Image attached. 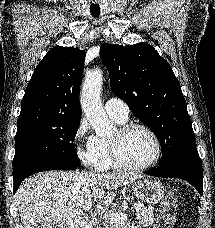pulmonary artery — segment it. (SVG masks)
<instances>
[{
  "instance_id": "1",
  "label": "pulmonary artery",
  "mask_w": 215,
  "mask_h": 228,
  "mask_svg": "<svg viewBox=\"0 0 215 228\" xmlns=\"http://www.w3.org/2000/svg\"><path fill=\"white\" fill-rule=\"evenodd\" d=\"M105 110L109 115L117 116L122 120L129 117V107L121 99L111 98L105 103Z\"/></svg>"
}]
</instances>
